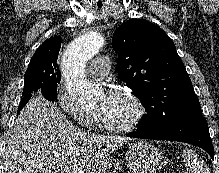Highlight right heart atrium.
I'll return each instance as SVG.
<instances>
[{"instance_id": "1", "label": "right heart atrium", "mask_w": 219, "mask_h": 173, "mask_svg": "<svg viewBox=\"0 0 219 173\" xmlns=\"http://www.w3.org/2000/svg\"><path fill=\"white\" fill-rule=\"evenodd\" d=\"M56 102L58 106L72 117L79 125L93 128L97 124V116L94 111L85 109L71 95L64 90H57Z\"/></svg>"}]
</instances>
